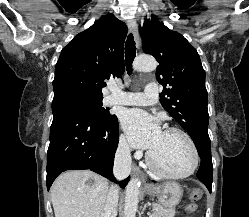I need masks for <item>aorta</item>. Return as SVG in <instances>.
Instances as JSON below:
<instances>
[{
  "mask_svg": "<svg viewBox=\"0 0 249 217\" xmlns=\"http://www.w3.org/2000/svg\"><path fill=\"white\" fill-rule=\"evenodd\" d=\"M133 67L135 70L142 72L154 71L157 68V62L151 56L141 55L136 57ZM139 188V179L132 178L126 187L124 217H135L138 207Z\"/></svg>",
  "mask_w": 249,
  "mask_h": 217,
  "instance_id": "obj_1",
  "label": "aorta"
}]
</instances>
